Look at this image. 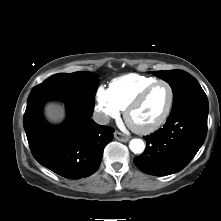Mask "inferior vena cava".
I'll return each mask as SVG.
<instances>
[{
  "label": "inferior vena cava",
  "instance_id": "inferior-vena-cava-1",
  "mask_svg": "<svg viewBox=\"0 0 221 221\" xmlns=\"http://www.w3.org/2000/svg\"><path fill=\"white\" fill-rule=\"evenodd\" d=\"M92 118L97 124L100 125H106L110 121L109 116L102 112H94Z\"/></svg>",
  "mask_w": 221,
  "mask_h": 221
}]
</instances>
